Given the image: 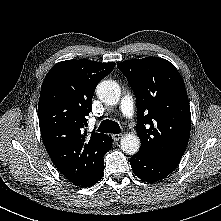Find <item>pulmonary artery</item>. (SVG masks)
Here are the masks:
<instances>
[{"label":"pulmonary artery","instance_id":"pulmonary-artery-1","mask_svg":"<svg viewBox=\"0 0 221 221\" xmlns=\"http://www.w3.org/2000/svg\"><path fill=\"white\" fill-rule=\"evenodd\" d=\"M120 109L128 120L135 118L134 103L129 95H125L120 101Z\"/></svg>","mask_w":221,"mask_h":221}]
</instances>
